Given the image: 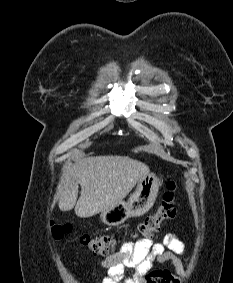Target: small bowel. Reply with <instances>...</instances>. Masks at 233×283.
Returning <instances> with one entry per match:
<instances>
[{"mask_svg":"<svg viewBox=\"0 0 233 283\" xmlns=\"http://www.w3.org/2000/svg\"><path fill=\"white\" fill-rule=\"evenodd\" d=\"M185 252L184 244L173 233L166 234L161 241L153 238L127 242L120 252L101 261L107 275L100 283H180L178 277L169 271L153 270L155 262L170 261L178 276L187 272V264L179 256ZM125 268H133L132 277L124 276Z\"/></svg>","mask_w":233,"mask_h":283,"instance_id":"1","label":"small bowel"}]
</instances>
